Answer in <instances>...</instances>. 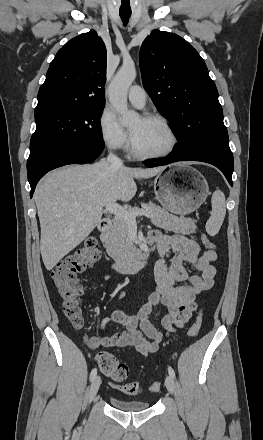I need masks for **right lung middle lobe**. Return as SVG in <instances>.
I'll return each mask as SVG.
<instances>
[{"label":"right lung middle lobe","mask_w":263,"mask_h":440,"mask_svg":"<svg viewBox=\"0 0 263 440\" xmlns=\"http://www.w3.org/2000/svg\"><path fill=\"white\" fill-rule=\"evenodd\" d=\"M104 106H58L35 109L36 130L31 137L27 170L51 153L77 145L100 144L99 124Z\"/></svg>","instance_id":"1"}]
</instances>
